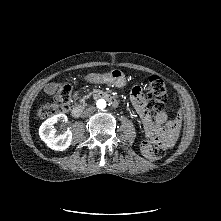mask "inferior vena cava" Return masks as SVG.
Wrapping results in <instances>:
<instances>
[{"instance_id": "obj_1", "label": "inferior vena cava", "mask_w": 221, "mask_h": 221, "mask_svg": "<svg viewBox=\"0 0 221 221\" xmlns=\"http://www.w3.org/2000/svg\"><path fill=\"white\" fill-rule=\"evenodd\" d=\"M95 107L90 106L84 111V116H90L92 113H94Z\"/></svg>"}]
</instances>
